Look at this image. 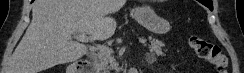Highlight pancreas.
Masks as SVG:
<instances>
[{"instance_id": "obj_1", "label": "pancreas", "mask_w": 244, "mask_h": 73, "mask_svg": "<svg viewBox=\"0 0 244 73\" xmlns=\"http://www.w3.org/2000/svg\"><path fill=\"white\" fill-rule=\"evenodd\" d=\"M164 43L159 40H152L149 45L150 53L155 56H162L164 52L162 48L164 47ZM94 60L98 69L101 70V73H109L110 68H114L117 66V62L112 55V51L109 52H98L94 56Z\"/></svg>"}]
</instances>
